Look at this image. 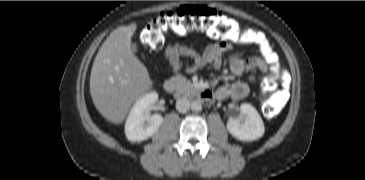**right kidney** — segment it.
I'll return each instance as SVG.
<instances>
[{"label": "right kidney", "mask_w": 365, "mask_h": 180, "mask_svg": "<svg viewBox=\"0 0 365 180\" xmlns=\"http://www.w3.org/2000/svg\"><path fill=\"white\" fill-rule=\"evenodd\" d=\"M157 100L158 94L150 92L135 102L125 124V134L128 140L140 142L157 132L163 122V117L160 114H150V109Z\"/></svg>", "instance_id": "obj_1"}]
</instances>
